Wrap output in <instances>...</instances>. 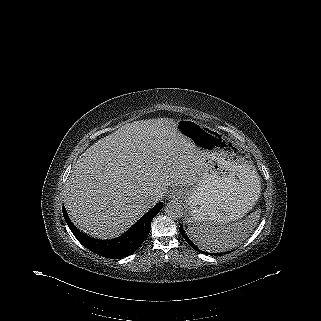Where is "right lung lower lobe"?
I'll return each mask as SVG.
<instances>
[{"label": "right lung lower lobe", "instance_id": "right-lung-lower-lobe-1", "mask_svg": "<svg viewBox=\"0 0 321 321\" xmlns=\"http://www.w3.org/2000/svg\"><path fill=\"white\" fill-rule=\"evenodd\" d=\"M162 207L163 203H158L143 215L126 233L111 240H98L80 232L70 221L64 207L63 215L70 230L83 246L100 256L112 259L127 257L140 247L150 232L152 219Z\"/></svg>", "mask_w": 321, "mask_h": 321}]
</instances>
